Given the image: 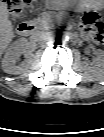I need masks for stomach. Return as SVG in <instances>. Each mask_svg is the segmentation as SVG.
I'll list each match as a JSON object with an SVG mask.
<instances>
[{"label":"stomach","instance_id":"stomach-1","mask_svg":"<svg viewBox=\"0 0 104 137\" xmlns=\"http://www.w3.org/2000/svg\"><path fill=\"white\" fill-rule=\"evenodd\" d=\"M93 0H47V6L53 9H64L66 7L76 5L78 9L83 10L89 8L88 4L92 3Z\"/></svg>","mask_w":104,"mask_h":137}]
</instances>
